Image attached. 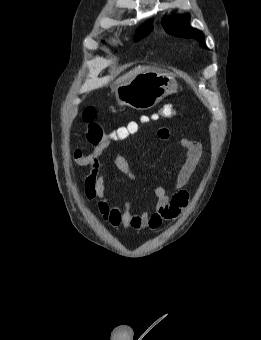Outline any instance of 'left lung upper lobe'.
Listing matches in <instances>:
<instances>
[{"instance_id": "obj_1", "label": "left lung upper lobe", "mask_w": 261, "mask_h": 340, "mask_svg": "<svg viewBox=\"0 0 261 340\" xmlns=\"http://www.w3.org/2000/svg\"><path fill=\"white\" fill-rule=\"evenodd\" d=\"M189 20V14H185L181 17H164L162 19V25L169 34L185 38H194L203 48L207 49L203 33L192 28L189 25Z\"/></svg>"}]
</instances>
